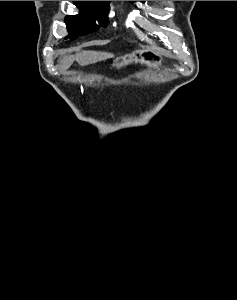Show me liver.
Here are the masks:
<instances>
[{"instance_id":"liver-1","label":"liver","mask_w":237,"mask_h":300,"mask_svg":"<svg viewBox=\"0 0 237 300\" xmlns=\"http://www.w3.org/2000/svg\"><path fill=\"white\" fill-rule=\"evenodd\" d=\"M114 55L112 53H100V51H80L76 55H66L61 59V67L63 69H69L73 61H77L78 65L81 67H86V65H93V63H98V61H106V59H112Z\"/></svg>"}]
</instances>
